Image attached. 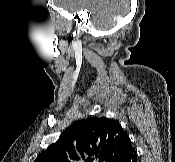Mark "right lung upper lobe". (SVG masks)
Segmentation results:
<instances>
[{"label": "right lung upper lobe", "mask_w": 175, "mask_h": 162, "mask_svg": "<svg viewBox=\"0 0 175 162\" xmlns=\"http://www.w3.org/2000/svg\"><path fill=\"white\" fill-rule=\"evenodd\" d=\"M130 147L118 121L88 117L71 125L34 162H112Z\"/></svg>", "instance_id": "1"}]
</instances>
